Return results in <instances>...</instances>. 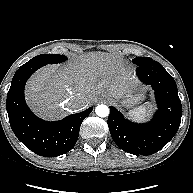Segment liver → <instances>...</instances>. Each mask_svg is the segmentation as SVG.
<instances>
[{
	"instance_id": "obj_1",
	"label": "liver",
	"mask_w": 193,
	"mask_h": 193,
	"mask_svg": "<svg viewBox=\"0 0 193 193\" xmlns=\"http://www.w3.org/2000/svg\"><path fill=\"white\" fill-rule=\"evenodd\" d=\"M137 88L136 80L113 55L95 53L82 56L66 66H45L27 82L25 95L29 106L45 118H59L66 103L81 97L89 106L102 94L124 95Z\"/></svg>"
}]
</instances>
